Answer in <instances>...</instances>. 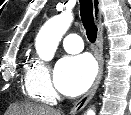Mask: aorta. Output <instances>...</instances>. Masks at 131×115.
<instances>
[{"label": "aorta", "instance_id": "aorta-1", "mask_svg": "<svg viewBox=\"0 0 131 115\" xmlns=\"http://www.w3.org/2000/svg\"><path fill=\"white\" fill-rule=\"evenodd\" d=\"M73 21L71 12H63L48 20L36 37V51L38 56L45 61L53 59L59 41ZM86 115H95L93 109H88Z\"/></svg>", "mask_w": 131, "mask_h": 115}]
</instances>
